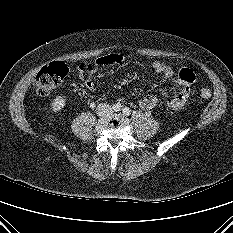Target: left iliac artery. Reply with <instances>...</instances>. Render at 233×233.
<instances>
[{
	"mask_svg": "<svg viewBox=\"0 0 233 233\" xmlns=\"http://www.w3.org/2000/svg\"><path fill=\"white\" fill-rule=\"evenodd\" d=\"M122 112H123L124 115L128 116V115H130L131 110L128 107H125V108L122 109Z\"/></svg>",
	"mask_w": 233,
	"mask_h": 233,
	"instance_id": "1",
	"label": "left iliac artery"
}]
</instances>
